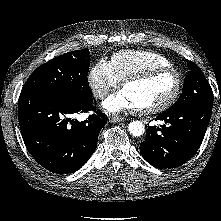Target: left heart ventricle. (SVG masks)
<instances>
[{"instance_id":"left-heart-ventricle-1","label":"left heart ventricle","mask_w":221,"mask_h":221,"mask_svg":"<svg viewBox=\"0 0 221 221\" xmlns=\"http://www.w3.org/2000/svg\"><path fill=\"white\" fill-rule=\"evenodd\" d=\"M175 87V75L166 73L145 82L129 84L122 90L126 92L138 109H145L165 101L174 92Z\"/></svg>"}]
</instances>
